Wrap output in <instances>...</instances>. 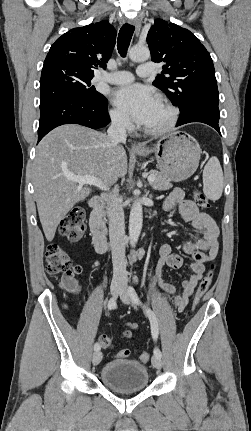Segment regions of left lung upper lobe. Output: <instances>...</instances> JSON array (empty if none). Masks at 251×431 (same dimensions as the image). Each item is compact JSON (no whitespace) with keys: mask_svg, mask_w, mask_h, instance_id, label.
<instances>
[{"mask_svg":"<svg viewBox=\"0 0 251 431\" xmlns=\"http://www.w3.org/2000/svg\"><path fill=\"white\" fill-rule=\"evenodd\" d=\"M154 62H165L153 85L165 92L184 115L199 104L219 103L210 53L189 30L156 19L147 35Z\"/></svg>","mask_w":251,"mask_h":431,"instance_id":"obj_1","label":"left lung upper lobe"}]
</instances>
